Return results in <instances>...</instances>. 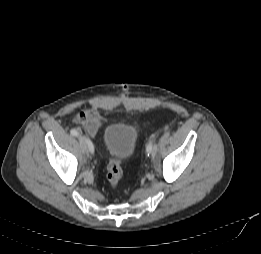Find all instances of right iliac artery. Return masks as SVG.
Wrapping results in <instances>:
<instances>
[{
	"instance_id": "obj_1",
	"label": "right iliac artery",
	"mask_w": 261,
	"mask_h": 254,
	"mask_svg": "<svg viewBox=\"0 0 261 254\" xmlns=\"http://www.w3.org/2000/svg\"><path fill=\"white\" fill-rule=\"evenodd\" d=\"M70 133L73 136H76V137L79 136V132L76 129H71ZM81 138L87 143L89 151L91 153H93L94 152V146H93L92 142L89 139L85 138V137H81Z\"/></svg>"
}]
</instances>
